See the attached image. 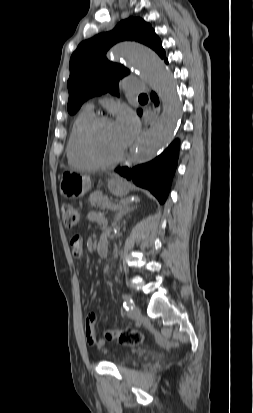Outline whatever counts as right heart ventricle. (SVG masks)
I'll return each mask as SVG.
<instances>
[{
  "label": "right heart ventricle",
  "mask_w": 253,
  "mask_h": 413,
  "mask_svg": "<svg viewBox=\"0 0 253 413\" xmlns=\"http://www.w3.org/2000/svg\"><path fill=\"white\" fill-rule=\"evenodd\" d=\"M94 117L92 110L84 108L74 119L66 145V156L70 165L83 169H95L96 165L86 154L83 146V131Z\"/></svg>",
  "instance_id": "e07e8e85"
}]
</instances>
